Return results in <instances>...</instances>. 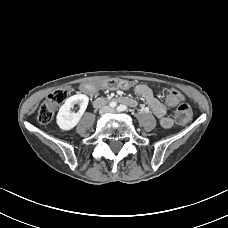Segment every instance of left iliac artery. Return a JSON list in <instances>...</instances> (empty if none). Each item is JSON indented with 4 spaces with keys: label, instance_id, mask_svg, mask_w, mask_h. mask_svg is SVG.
Listing matches in <instances>:
<instances>
[{
    "label": "left iliac artery",
    "instance_id": "obj_1",
    "mask_svg": "<svg viewBox=\"0 0 228 228\" xmlns=\"http://www.w3.org/2000/svg\"><path fill=\"white\" fill-rule=\"evenodd\" d=\"M127 110V107L125 105H119L117 107V111L118 112H123V111H126Z\"/></svg>",
    "mask_w": 228,
    "mask_h": 228
}]
</instances>
